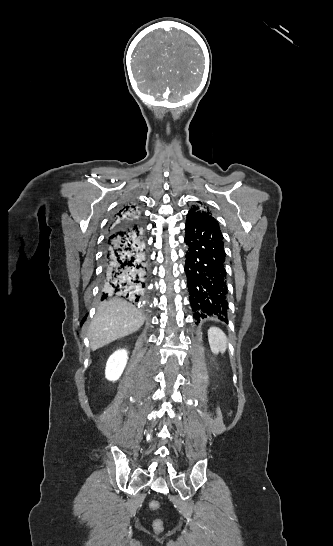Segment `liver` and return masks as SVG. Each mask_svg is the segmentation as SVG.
I'll return each mask as SVG.
<instances>
[{
    "label": "liver",
    "mask_w": 333,
    "mask_h": 546,
    "mask_svg": "<svg viewBox=\"0 0 333 546\" xmlns=\"http://www.w3.org/2000/svg\"><path fill=\"white\" fill-rule=\"evenodd\" d=\"M144 321L142 312L131 303L121 299L102 302L88 328L91 349L95 351L136 332Z\"/></svg>",
    "instance_id": "liver-1"
}]
</instances>
